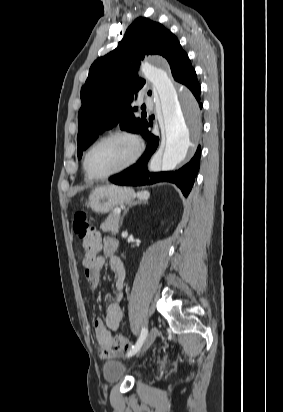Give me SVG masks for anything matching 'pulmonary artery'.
I'll use <instances>...</instances> for the list:
<instances>
[{"mask_svg": "<svg viewBox=\"0 0 283 412\" xmlns=\"http://www.w3.org/2000/svg\"><path fill=\"white\" fill-rule=\"evenodd\" d=\"M141 102L147 106H150L152 104L151 99L149 97H141Z\"/></svg>", "mask_w": 283, "mask_h": 412, "instance_id": "obj_1", "label": "pulmonary artery"}]
</instances>
